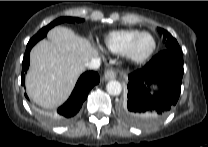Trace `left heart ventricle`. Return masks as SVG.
<instances>
[{
  "label": "left heart ventricle",
  "instance_id": "obj_1",
  "mask_svg": "<svg viewBox=\"0 0 208 147\" xmlns=\"http://www.w3.org/2000/svg\"><path fill=\"white\" fill-rule=\"evenodd\" d=\"M153 47V39L146 35L140 38L136 47H135V54L137 56H143L147 54Z\"/></svg>",
  "mask_w": 208,
  "mask_h": 147
}]
</instances>
